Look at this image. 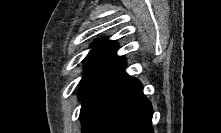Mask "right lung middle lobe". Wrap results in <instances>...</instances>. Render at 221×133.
<instances>
[{
	"mask_svg": "<svg viewBox=\"0 0 221 133\" xmlns=\"http://www.w3.org/2000/svg\"><path fill=\"white\" fill-rule=\"evenodd\" d=\"M98 75H84L79 86L78 97L84 100Z\"/></svg>",
	"mask_w": 221,
	"mask_h": 133,
	"instance_id": "right-lung-middle-lobe-1",
	"label": "right lung middle lobe"
}]
</instances>
